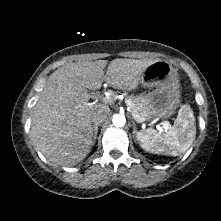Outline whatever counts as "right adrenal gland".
I'll return each instance as SVG.
<instances>
[{"instance_id": "right-adrenal-gland-1", "label": "right adrenal gland", "mask_w": 221, "mask_h": 221, "mask_svg": "<svg viewBox=\"0 0 221 221\" xmlns=\"http://www.w3.org/2000/svg\"><path fill=\"white\" fill-rule=\"evenodd\" d=\"M100 126V124H95L93 127H92V131H93V144L95 143V140L97 138V133H98V127Z\"/></svg>"}]
</instances>
